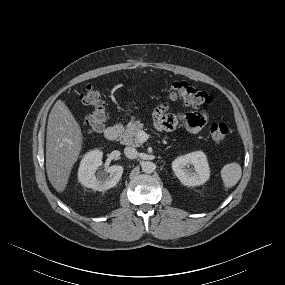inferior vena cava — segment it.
<instances>
[{
  "mask_svg": "<svg viewBox=\"0 0 285 285\" xmlns=\"http://www.w3.org/2000/svg\"><path fill=\"white\" fill-rule=\"evenodd\" d=\"M124 154L129 159H136L138 157V151L133 147H125Z\"/></svg>",
  "mask_w": 285,
  "mask_h": 285,
  "instance_id": "1",
  "label": "inferior vena cava"
}]
</instances>
